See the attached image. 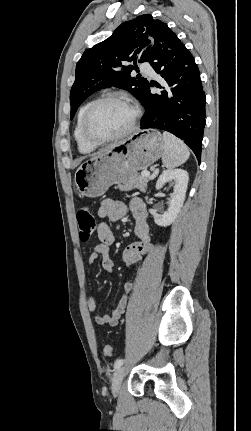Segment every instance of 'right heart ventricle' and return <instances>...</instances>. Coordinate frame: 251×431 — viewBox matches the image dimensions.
Returning a JSON list of instances; mask_svg holds the SVG:
<instances>
[{
    "mask_svg": "<svg viewBox=\"0 0 251 431\" xmlns=\"http://www.w3.org/2000/svg\"><path fill=\"white\" fill-rule=\"evenodd\" d=\"M92 103H93V100H90V101H87L86 103H84L80 107L78 114H77L76 124H75V128H74V138L76 140L78 150L83 154L91 153L97 148L96 145H92V144L88 143L82 134L83 116H84L86 110L88 109V107Z\"/></svg>",
    "mask_w": 251,
    "mask_h": 431,
    "instance_id": "e07e8e85",
    "label": "right heart ventricle"
}]
</instances>
